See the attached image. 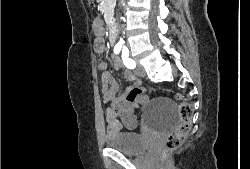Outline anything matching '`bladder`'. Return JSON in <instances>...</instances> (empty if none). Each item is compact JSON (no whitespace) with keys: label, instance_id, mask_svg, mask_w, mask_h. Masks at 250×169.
Here are the masks:
<instances>
[{"label":"bladder","instance_id":"1","mask_svg":"<svg viewBox=\"0 0 250 169\" xmlns=\"http://www.w3.org/2000/svg\"><path fill=\"white\" fill-rule=\"evenodd\" d=\"M107 148L128 155H141L150 145H143L140 134L113 133L105 137Z\"/></svg>","mask_w":250,"mask_h":169}]
</instances>
